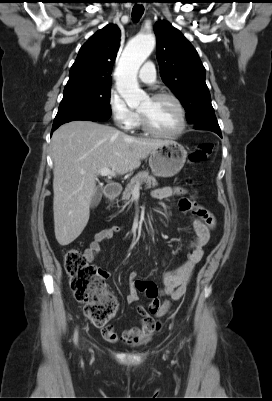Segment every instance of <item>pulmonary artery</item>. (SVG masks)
<instances>
[{"mask_svg":"<svg viewBox=\"0 0 272 401\" xmlns=\"http://www.w3.org/2000/svg\"><path fill=\"white\" fill-rule=\"evenodd\" d=\"M155 77L156 75L153 63L146 62L139 73L140 81L151 84L155 81Z\"/></svg>","mask_w":272,"mask_h":401,"instance_id":"e3ab8cb5","label":"pulmonary artery"}]
</instances>
